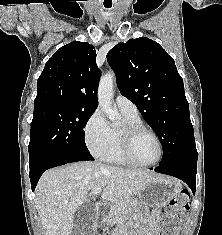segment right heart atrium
Listing matches in <instances>:
<instances>
[{
	"instance_id": "1",
	"label": "right heart atrium",
	"mask_w": 222,
	"mask_h": 235,
	"mask_svg": "<svg viewBox=\"0 0 222 235\" xmlns=\"http://www.w3.org/2000/svg\"><path fill=\"white\" fill-rule=\"evenodd\" d=\"M84 140L92 155L100 157L111 141V127L100 109H96L84 127Z\"/></svg>"
}]
</instances>
